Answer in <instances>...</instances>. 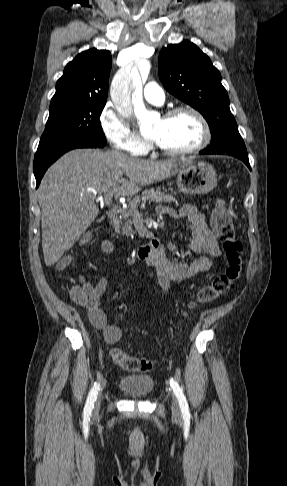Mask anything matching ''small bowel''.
<instances>
[{
    "label": "small bowel",
    "mask_w": 287,
    "mask_h": 486,
    "mask_svg": "<svg viewBox=\"0 0 287 486\" xmlns=\"http://www.w3.org/2000/svg\"><path fill=\"white\" fill-rule=\"evenodd\" d=\"M160 215H168L175 220L184 219L187 222L188 240L160 244L157 252L145 261L156 268L158 282L163 291H167L172 283L181 282L191 276L209 270L221 250L216 236L209 229L206 217L193 205H183L179 211L166 206L157 208ZM184 250L196 256L191 262L172 259L168 253ZM101 251L110 254L113 243L104 240ZM69 257V256H67ZM81 287L87 296L84 304L91 324L101 333L107 344H115L121 338L118 326L108 322L107 316L100 306V299L106 291L107 277H101L96 284L81 279Z\"/></svg>",
    "instance_id": "1"
}]
</instances>
